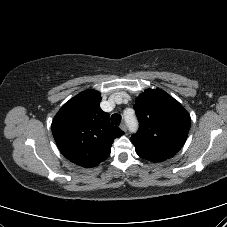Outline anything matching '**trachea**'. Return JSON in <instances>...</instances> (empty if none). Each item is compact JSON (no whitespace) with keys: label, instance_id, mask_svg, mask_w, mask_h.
<instances>
[{"label":"trachea","instance_id":"trachea-1","mask_svg":"<svg viewBox=\"0 0 227 227\" xmlns=\"http://www.w3.org/2000/svg\"><path fill=\"white\" fill-rule=\"evenodd\" d=\"M121 115L120 114H113L111 116V122L114 124V125H119V123L121 122Z\"/></svg>","mask_w":227,"mask_h":227}]
</instances>
